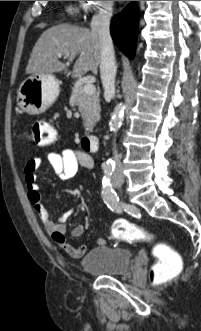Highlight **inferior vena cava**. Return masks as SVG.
Wrapping results in <instances>:
<instances>
[{"instance_id":"602c4592","label":"inferior vena cava","mask_w":201,"mask_h":331,"mask_svg":"<svg viewBox=\"0 0 201 331\" xmlns=\"http://www.w3.org/2000/svg\"><path fill=\"white\" fill-rule=\"evenodd\" d=\"M111 16L112 11L110 9H100L93 16L91 21L92 32L98 35L101 46L100 75L104 88V95L105 97L110 98H112L115 94V77L117 71L115 52L109 30ZM113 155L115 161V170L113 175L118 176L120 180H123L124 176L122 173V166L115 143Z\"/></svg>"}]
</instances>
